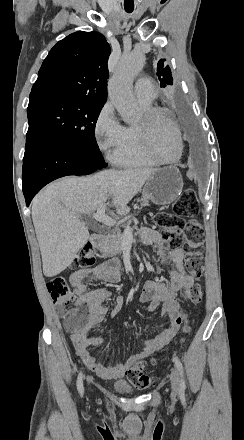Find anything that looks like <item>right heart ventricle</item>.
<instances>
[{
    "instance_id": "right-heart-ventricle-1",
    "label": "right heart ventricle",
    "mask_w": 244,
    "mask_h": 440,
    "mask_svg": "<svg viewBox=\"0 0 244 440\" xmlns=\"http://www.w3.org/2000/svg\"><path fill=\"white\" fill-rule=\"evenodd\" d=\"M139 104L142 111L151 108V103L143 104L139 102ZM164 120L165 119L162 121ZM142 133L143 130L137 126V123L129 125L126 128L125 137L130 139L133 142V145L130 147L129 151L116 149L113 152L112 160L115 164L124 168H153L158 165L153 154H148L147 147L142 146ZM150 146L154 149L152 143H150Z\"/></svg>"
}]
</instances>
